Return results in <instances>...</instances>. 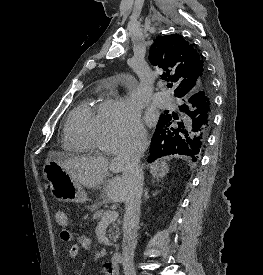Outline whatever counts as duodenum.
Here are the masks:
<instances>
[{
    "instance_id": "410a0bca",
    "label": "duodenum",
    "mask_w": 263,
    "mask_h": 275,
    "mask_svg": "<svg viewBox=\"0 0 263 275\" xmlns=\"http://www.w3.org/2000/svg\"><path fill=\"white\" fill-rule=\"evenodd\" d=\"M123 256L120 252H115L111 256L110 260L105 262L104 266L109 271L117 270L118 265L122 262Z\"/></svg>"
}]
</instances>
